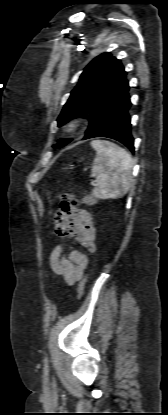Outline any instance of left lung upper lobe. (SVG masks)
<instances>
[{
    "label": "left lung upper lobe",
    "instance_id": "1",
    "mask_svg": "<svg viewBox=\"0 0 168 415\" xmlns=\"http://www.w3.org/2000/svg\"><path fill=\"white\" fill-rule=\"evenodd\" d=\"M126 74L120 60L110 53H103L93 59L72 90L57 119L58 126L76 117L87 118L91 124L104 107L129 86ZM70 141L71 139H60L54 147H62Z\"/></svg>",
    "mask_w": 168,
    "mask_h": 415
}]
</instances>
